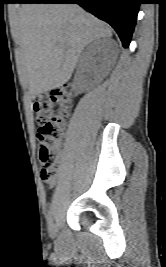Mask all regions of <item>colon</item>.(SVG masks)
Wrapping results in <instances>:
<instances>
[{"mask_svg":"<svg viewBox=\"0 0 166 267\" xmlns=\"http://www.w3.org/2000/svg\"><path fill=\"white\" fill-rule=\"evenodd\" d=\"M73 100L72 88L64 85L34 102L41 175L45 182L52 181L60 167L59 144L63 138L65 119L70 114Z\"/></svg>","mask_w":166,"mask_h":267,"instance_id":"obj_1","label":"colon"}]
</instances>
